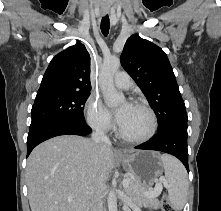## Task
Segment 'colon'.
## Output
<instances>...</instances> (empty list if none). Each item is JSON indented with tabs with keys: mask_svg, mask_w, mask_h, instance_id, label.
<instances>
[{
	"mask_svg": "<svg viewBox=\"0 0 221 211\" xmlns=\"http://www.w3.org/2000/svg\"><path fill=\"white\" fill-rule=\"evenodd\" d=\"M162 211H175L172 204L169 202L168 198L164 196L161 205Z\"/></svg>",
	"mask_w": 221,
	"mask_h": 211,
	"instance_id": "obj_1",
	"label": "colon"
}]
</instances>
